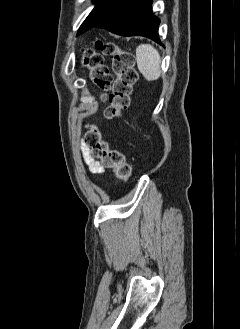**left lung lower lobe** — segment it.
Segmentation results:
<instances>
[{"label":"left lung lower lobe","instance_id":"left-lung-lower-lobe-1","mask_svg":"<svg viewBox=\"0 0 240 329\" xmlns=\"http://www.w3.org/2000/svg\"><path fill=\"white\" fill-rule=\"evenodd\" d=\"M152 0H121L94 27L122 36H145L161 44L160 20L152 14Z\"/></svg>","mask_w":240,"mask_h":329}]
</instances>
